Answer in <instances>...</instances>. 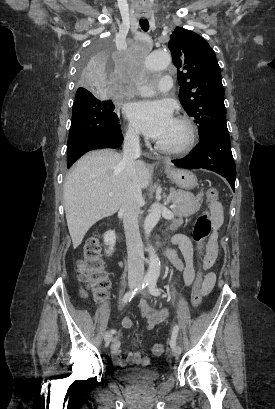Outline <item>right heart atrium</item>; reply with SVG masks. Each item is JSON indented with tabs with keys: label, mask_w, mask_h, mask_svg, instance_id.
<instances>
[{
	"label": "right heart atrium",
	"mask_w": 275,
	"mask_h": 409,
	"mask_svg": "<svg viewBox=\"0 0 275 409\" xmlns=\"http://www.w3.org/2000/svg\"><path fill=\"white\" fill-rule=\"evenodd\" d=\"M125 138L129 142H137L140 138V129L132 121H129L125 127Z\"/></svg>",
	"instance_id": "1"
}]
</instances>
